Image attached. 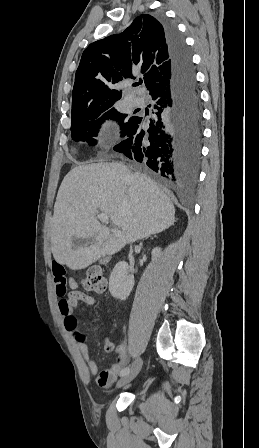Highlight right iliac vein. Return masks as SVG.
Masks as SVG:
<instances>
[{"label":"right iliac vein","mask_w":259,"mask_h":448,"mask_svg":"<svg viewBox=\"0 0 259 448\" xmlns=\"http://www.w3.org/2000/svg\"><path fill=\"white\" fill-rule=\"evenodd\" d=\"M143 361L141 358H137L135 362L132 364L130 371L122 376V378L118 381L117 387H122L127 383L131 382L140 372L142 368Z\"/></svg>","instance_id":"1"}]
</instances>
